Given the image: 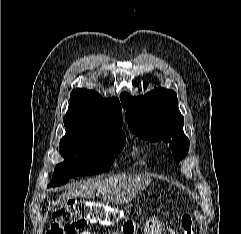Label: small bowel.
Here are the masks:
<instances>
[{
	"label": "small bowel",
	"mask_w": 241,
	"mask_h": 234,
	"mask_svg": "<svg viewBox=\"0 0 241 234\" xmlns=\"http://www.w3.org/2000/svg\"><path fill=\"white\" fill-rule=\"evenodd\" d=\"M80 234H93V233L90 231H82ZM112 234H118V233L114 232Z\"/></svg>",
	"instance_id": "obj_1"
}]
</instances>
